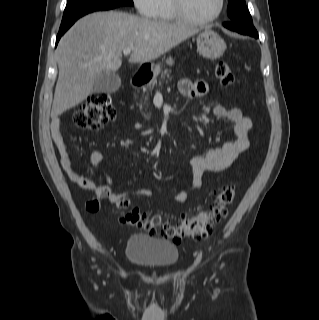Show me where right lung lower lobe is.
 <instances>
[{
    "label": "right lung lower lobe",
    "mask_w": 319,
    "mask_h": 320,
    "mask_svg": "<svg viewBox=\"0 0 319 320\" xmlns=\"http://www.w3.org/2000/svg\"><path fill=\"white\" fill-rule=\"evenodd\" d=\"M71 25L59 29V33H58L57 38H56V45H57L59 39L61 38V36L71 27Z\"/></svg>",
    "instance_id": "obj_1"
}]
</instances>
